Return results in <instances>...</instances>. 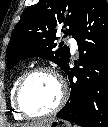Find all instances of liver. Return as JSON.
Listing matches in <instances>:
<instances>
[{
	"label": "liver",
	"instance_id": "1",
	"mask_svg": "<svg viewBox=\"0 0 108 127\" xmlns=\"http://www.w3.org/2000/svg\"><path fill=\"white\" fill-rule=\"evenodd\" d=\"M53 120L54 119H43L33 123L22 124L21 127H43Z\"/></svg>",
	"mask_w": 108,
	"mask_h": 127
}]
</instances>
